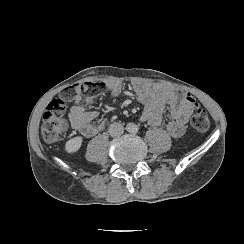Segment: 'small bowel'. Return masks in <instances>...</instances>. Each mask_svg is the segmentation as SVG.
Instances as JSON below:
<instances>
[{"mask_svg":"<svg viewBox=\"0 0 244 244\" xmlns=\"http://www.w3.org/2000/svg\"><path fill=\"white\" fill-rule=\"evenodd\" d=\"M104 84L110 91L111 98L123 93L124 84L119 80H106ZM131 91L132 96L144 107L140 117L142 122L159 127L164 123L165 113L168 111L166 131L175 139L184 135L185 125L193 112V105L188 101L191 97L189 94L177 88L144 81L132 82ZM98 115L96 110L87 111L81 101H77L69 112L73 129L85 137L95 136L105 129L107 118L93 124Z\"/></svg>","mask_w":244,"mask_h":244,"instance_id":"small-bowel-1","label":"small bowel"}]
</instances>
